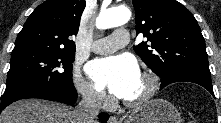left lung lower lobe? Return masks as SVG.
Here are the masks:
<instances>
[{
  "label": "left lung lower lobe",
  "mask_w": 221,
  "mask_h": 123,
  "mask_svg": "<svg viewBox=\"0 0 221 123\" xmlns=\"http://www.w3.org/2000/svg\"><path fill=\"white\" fill-rule=\"evenodd\" d=\"M179 81L193 82L199 84L206 88L214 96L211 83V74L196 70H186L166 75L161 79L160 89L166 87L171 83Z\"/></svg>",
  "instance_id": "left-lung-lower-lobe-1"
}]
</instances>
